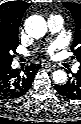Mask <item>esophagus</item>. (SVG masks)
Wrapping results in <instances>:
<instances>
[{"label": "esophagus", "mask_w": 81, "mask_h": 124, "mask_svg": "<svg viewBox=\"0 0 81 124\" xmlns=\"http://www.w3.org/2000/svg\"><path fill=\"white\" fill-rule=\"evenodd\" d=\"M46 68H55L56 65L55 64H51L50 62L44 63L43 64Z\"/></svg>", "instance_id": "obj_1"}]
</instances>
